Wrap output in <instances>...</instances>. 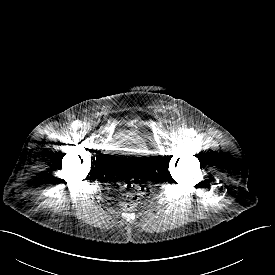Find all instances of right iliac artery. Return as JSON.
Segmentation results:
<instances>
[{
  "label": "right iliac artery",
  "mask_w": 275,
  "mask_h": 275,
  "mask_svg": "<svg viewBox=\"0 0 275 275\" xmlns=\"http://www.w3.org/2000/svg\"><path fill=\"white\" fill-rule=\"evenodd\" d=\"M80 126H82V125H81V123H80L79 121H74V122L72 123V127H73L74 129H78Z\"/></svg>",
  "instance_id": "82829eb1"
}]
</instances>
